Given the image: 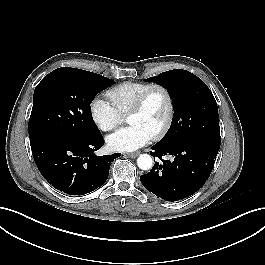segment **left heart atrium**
<instances>
[{"label":"left heart atrium","instance_id":"obj_1","mask_svg":"<svg viewBox=\"0 0 265 265\" xmlns=\"http://www.w3.org/2000/svg\"><path fill=\"white\" fill-rule=\"evenodd\" d=\"M151 138V133L143 127L130 125L107 136L106 142L112 151L129 152L143 147Z\"/></svg>","mask_w":265,"mask_h":265}]
</instances>
